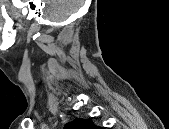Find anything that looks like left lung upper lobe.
I'll return each instance as SVG.
<instances>
[{
  "label": "left lung upper lobe",
  "instance_id": "obj_1",
  "mask_svg": "<svg viewBox=\"0 0 169 129\" xmlns=\"http://www.w3.org/2000/svg\"><path fill=\"white\" fill-rule=\"evenodd\" d=\"M77 126L72 127L70 123L66 124L65 129H100V127H97L93 124L91 119H75L73 121Z\"/></svg>",
  "mask_w": 169,
  "mask_h": 129
}]
</instances>
